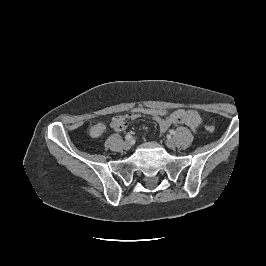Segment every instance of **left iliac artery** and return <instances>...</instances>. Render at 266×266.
<instances>
[{
    "label": "left iliac artery",
    "mask_w": 266,
    "mask_h": 266,
    "mask_svg": "<svg viewBox=\"0 0 266 266\" xmlns=\"http://www.w3.org/2000/svg\"><path fill=\"white\" fill-rule=\"evenodd\" d=\"M170 134L171 135H174L175 134V131L174 130H170Z\"/></svg>",
    "instance_id": "44dca946"
}]
</instances>
